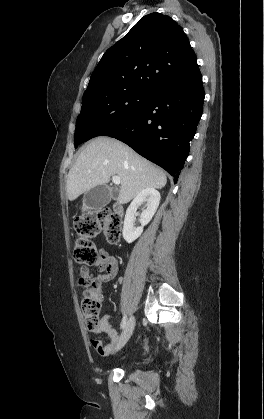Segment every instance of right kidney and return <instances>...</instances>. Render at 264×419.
<instances>
[{"label": "right kidney", "instance_id": "ca27d5eb", "mask_svg": "<svg viewBox=\"0 0 264 419\" xmlns=\"http://www.w3.org/2000/svg\"><path fill=\"white\" fill-rule=\"evenodd\" d=\"M160 193L154 188H146L140 191L137 196L133 199L130 206L128 207L124 219L123 225V238L127 243H132L138 237L141 236L143 232V227L146 226L152 217L154 216L159 203H160ZM142 204H145L146 209L140 215L141 226L135 228L134 221L135 215L138 207Z\"/></svg>", "mask_w": 264, "mask_h": 419}]
</instances>
